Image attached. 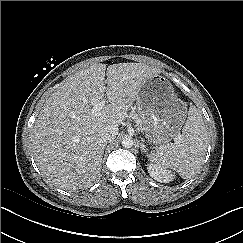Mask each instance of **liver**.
I'll use <instances>...</instances> for the list:
<instances>
[{
  "label": "liver",
  "instance_id": "1",
  "mask_svg": "<svg viewBox=\"0 0 243 243\" xmlns=\"http://www.w3.org/2000/svg\"><path fill=\"white\" fill-rule=\"evenodd\" d=\"M158 72L144 63L107 68L95 63L67 78L47 98L32 128L31 147L41 173L64 190L90 186L102 168V131L123 124L142 84ZM105 97L108 103L92 114Z\"/></svg>",
  "mask_w": 243,
  "mask_h": 243
}]
</instances>
